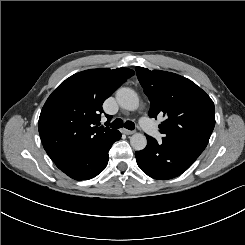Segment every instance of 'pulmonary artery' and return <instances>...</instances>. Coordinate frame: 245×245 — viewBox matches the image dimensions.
Returning a JSON list of instances; mask_svg holds the SVG:
<instances>
[{
  "mask_svg": "<svg viewBox=\"0 0 245 245\" xmlns=\"http://www.w3.org/2000/svg\"><path fill=\"white\" fill-rule=\"evenodd\" d=\"M138 126L146 137L150 138V140L154 143H159L164 138V133L161 129L157 128L154 124V121L149 116H143L138 121Z\"/></svg>",
  "mask_w": 245,
  "mask_h": 245,
  "instance_id": "e3ab8cb5",
  "label": "pulmonary artery"
}]
</instances>
